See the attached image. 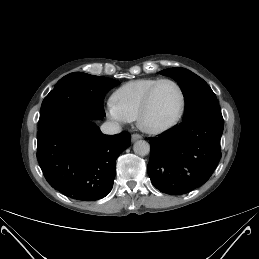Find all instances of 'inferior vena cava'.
Returning <instances> with one entry per match:
<instances>
[{
  "label": "inferior vena cava",
  "mask_w": 259,
  "mask_h": 259,
  "mask_svg": "<svg viewBox=\"0 0 259 259\" xmlns=\"http://www.w3.org/2000/svg\"><path fill=\"white\" fill-rule=\"evenodd\" d=\"M101 131L104 134H109V135H113V134H117L121 132V126L119 125L118 122L116 121H107L104 122L101 127H100Z\"/></svg>",
  "instance_id": "1"
}]
</instances>
